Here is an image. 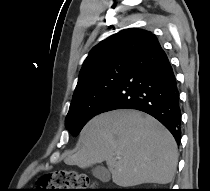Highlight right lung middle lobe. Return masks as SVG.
Wrapping results in <instances>:
<instances>
[{
  "label": "right lung middle lobe",
  "mask_w": 210,
  "mask_h": 191,
  "mask_svg": "<svg viewBox=\"0 0 210 191\" xmlns=\"http://www.w3.org/2000/svg\"><path fill=\"white\" fill-rule=\"evenodd\" d=\"M129 63L130 60H118L99 68L74 92L65 120V126L72 135L79 134L84 125L98 114Z\"/></svg>",
  "instance_id": "obj_1"
}]
</instances>
